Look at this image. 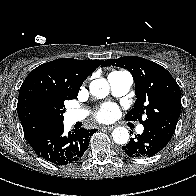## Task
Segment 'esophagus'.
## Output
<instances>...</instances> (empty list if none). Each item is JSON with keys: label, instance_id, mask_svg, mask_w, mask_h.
Here are the masks:
<instances>
[{"label": "esophagus", "instance_id": "obj_1", "mask_svg": "<svg viewBox=\"0 0 196 196\" xmlns=\"http://www.w3.org/2000/svg\"><path fill=\"white\" fill-rule=\"evenodd\" d=\"M102 128L105 130H112L114 128V126L113 125L112 126H104Z\"/></svg>", "mask_w": 196, "mask_h": 196}]
</instances>
